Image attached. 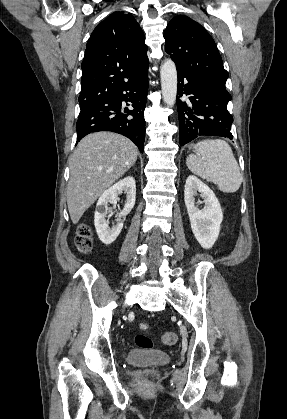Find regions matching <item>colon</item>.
I'll list each match as a JSON object with an SVG mask.
<instances>
[{
  "label": "colon",
  "instance_id": "5ec220e1",
  "mask_svg": "<svg viewBox=\"0 0 287 419\" xmlns=\"http://www.w3.org/2000/svg\"><path fill=\"white\" fill-rule=\"evenodd\" d=\"M75 243L81 252H87L92 248L91 231L86 225H82L77 233ZM177 334L173 331L164 332L161 336V342L166 346H173L177 343ZM135 343L139 348H152V340L145 334H138L135 337ZM145 378L140 376L136 379V383H143Z\"/></svg>",
  "mask_w": 287,
  "mask_h": 419
}]
</instances>
